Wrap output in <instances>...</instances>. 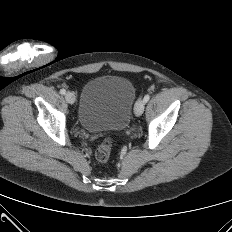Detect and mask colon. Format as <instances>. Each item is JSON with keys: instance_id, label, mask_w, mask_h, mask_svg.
Wrapping results in <instances>:
<instances>
[{"instance_id": "5ec220e1", "label": "colon", "mask_w": 232, "mask_h": 232, "mask_svg": "<svg viewBox=\"0 0 232 232\" xmlns=\"http://www.w3.org/2000/svg\"><path fill=\"white\" fill-rule=\"evenodd\" d=\"M112 142L110 139L103 141L96 149L95 156L100 162H106L111 155Z\"/></svg>"}]
</instances>
